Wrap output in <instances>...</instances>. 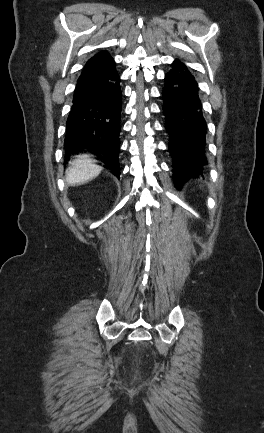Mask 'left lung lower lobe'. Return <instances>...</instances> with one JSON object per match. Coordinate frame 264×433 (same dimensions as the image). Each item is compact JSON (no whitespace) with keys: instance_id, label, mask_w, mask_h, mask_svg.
Wrapping results in <instances>:
<instances>
[{"instance_id":"obj_1","label":"left lung lower lobe","mask_w":264,"mask_h":433,"mask_svg":"<svg viewBox=\"0 0 264 433\" xmlns=\"http://www.w3.org/2000/svg\"><path fill=\"white\" fill-rule=\"evenodd\" d=\"M164 80L165 127L170 136L173 178L176 186L180 187L203 172L207 162V124L202 113L198 84L186 65L175 60Z\"/></svg>"}]
</instances>
